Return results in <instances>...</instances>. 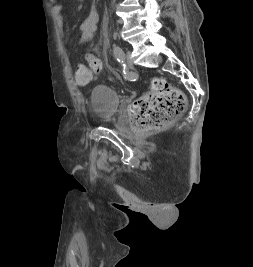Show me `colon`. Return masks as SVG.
I'll list each match as a JSON object with an SVG mask.
<instances>
[{
	"label": "colon",
	"mask_w": 253,
	"mask_h": 267,
	"mask_svg": "<svg viewBox=\"0 0 253 267\" xmlns=\"http://www.w3.org/2000/svg\"><path fill=\"white\" fill-rule=\"evenodd\" d=\"M88 67L80 65L76 68L75 78L78 83L90 81L92 74L99 73L101 61L91 53L86 54ZM186 108L183 92L169 85L162 78H154L151 90L136 100L130 109L134 128L139 132L159 129L177 117Z\"/></svg>",
	"instance_id": "colon-1"
}]
</instances>
